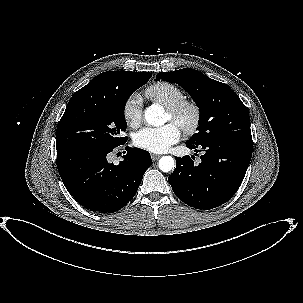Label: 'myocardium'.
Returning <instances> with one entry per match:
<instances>
[{
	"label": "myocardium",
	"instance_id": "1",
	"mask_svg": "<svg viewBox=\"0 0 303 303\" xmlns=\"http://www.w3.org/2000/svg\"><path fill=\"white\" fill-rule=\"evenodd\" d=\"M186 111L190 113V119L188 121L181 120L180 117L182 113ZM166 112L171 119L177 121L180 129L187 135L194 134L200 125L201 110L193 101L183 99L176 104L167 107Z\"/></svg>",
	"mask_w": 303,
	"mask_h": 303
}]
</instances>
